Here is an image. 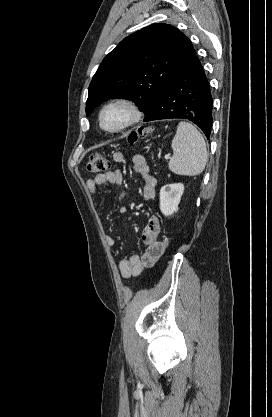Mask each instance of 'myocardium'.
I'll use <instances>...</instances> for the list:
<instances>
[{"label": "myocardium", "mask_w": 272, "mask_h": 417, "mask_svg": "<svg viewBox=\"0 0 272 417\" xmlns=\"http://www.w3.org/2000/svg\"><path fill=\"white\" fill-rule=\"evenodd\" d=\"M114 107L124 108L127 111L128 115L125 121L119 126L115 128H107L104 125V115L109 109ZM141 118L142 111L138 103L129 96H120L110 100L102 107L99 113L98 120L99 126L103 131L109 134H118L137 124L141 120Z\"/></svg>", "instance_id": "myocardium-1"}]
</instances>
